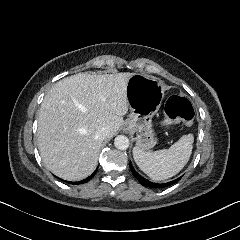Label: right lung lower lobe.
<instances>
[{
	"label": "right lung lower lobe",
	"mask_w": 240,
	"mask_h": 240,
	"mask_svg": "<svg viewBox=\"0 0 240 240\" xmlns=\"http://www.w3.org/2000/svg\"><path fill=\"white\" fill-rule=\"evenodd\" d=\"M97 171V170H96ZM96 171L91 175L89 176L88 178L84 179V180H81L79 182H69V181H66L67 183H71V184H82V183H86L88 182L93 176L94 174L96 173Z\"/></svg>",
	"instance_id": "98d812e1"
}]
</instances>
